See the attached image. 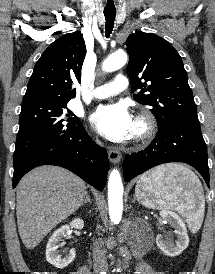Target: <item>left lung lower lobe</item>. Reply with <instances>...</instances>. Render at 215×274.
Returning <instances> with one entry per match:
<instances>
[{
  "label": "left lung lower lobe",
  "mask_w": 215,
  "mask_h": 274,
  "mask_svg": "<svg viewBox=\"0 0 215 274\" xmlns=\"http://www.w3.org/2000/svg\"><path fill=\"white\" fill-rule=\"evenodd\" d=\"M169 162L193 166L209 186L207 147L200 127L171 124L158 127V133L145 150L126 155L123 162L125 181L148 169Z\"/></svg>",
  "instance_id": "0a47b994"
}]
</instances>
